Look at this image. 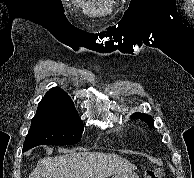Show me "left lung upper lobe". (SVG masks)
Instances as JSON below:
<instances>
[{"label": "left lung upper lobe", "mask_w": 194, "mask_h": 178, "mask_svg": "<svg viewBox=\"0 0 194 178\" xmlns=\"http://www.w3.org/2000/svg\"><path fill=\"white\" fill-rule=\"evenodd\" d=\"M131 117L133 119H140L145 123H147L149 126L153 127L154 119L150 115L137 112V113H134Z\"/></svg>", "instance_id": "1"}]
</instances>
